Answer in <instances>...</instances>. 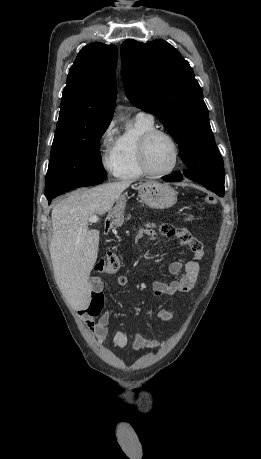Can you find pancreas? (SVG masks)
Here are the masks:
<instances>
[{
    "label": "pancreas",
    "instance_id": "pancreas-1",
    "mask_svg": "<svg viewBox=\"0 0 261 459\" xmlns=\"http://www.w3.org/2000/svg\"><path fill=\"white\" fill-rule=\"evenodd\" d=\"M146 228H154L156 225L155 224H151V223H147L146 225Z\"/></svg>",
    "mask_w": 261,
    "mask_h": 459
}]
</instances>
